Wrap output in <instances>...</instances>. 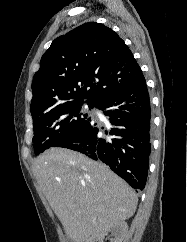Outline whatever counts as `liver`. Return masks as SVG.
<instances>
[{"mask_svg": "<svg viewBox=\"0 0 187 242\" xmlns=\"http://www.w3.org/2000/svg\"><path fill=\"white\" fill-rule=\"evenodd\" d=\"M33 173L72 242H86L136 211L135 191L81 153L51 148L34 161Z\"/></svg>", "mask_w": 187, "mask_h": 242, "instance_id": "1", "label": "liver"}]
</instances>
